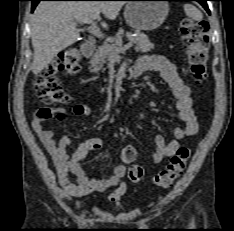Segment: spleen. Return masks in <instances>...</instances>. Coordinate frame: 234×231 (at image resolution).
<instances>
[{
    "instance_id": "obj_1",
    "label": "spleen",
    "mask_w": 234,
    "mask_h": 231,
    "mask_svg": "<svg viewBox=\"0 0 234 231\" xmlns=\"http://www.w3.org/2000/svg\"><path fill=\"white\" fill-rule=\"evenodd\" d=\"M184 11L188 17L196 21H200L203 18L201 11L190 3L184 4Z\"/></svg>"
}]
</instances>
